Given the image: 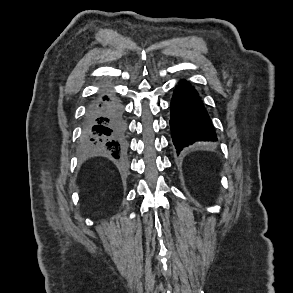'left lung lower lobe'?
I'll return each instance as SVG.
<instances>
[{"mask_svg": "<svg viewBox=\"0 0 293 293\" xmlns=\"http://www.w3.org/2000/svg\"><path fill=\"white\" fill-rule=\"evenodd\" d=\"M173 144L180 151L198 141H216L217 136L197 91L185 80L176 86L170 104Z\"/></svg>", "mask_w": 293, "mask_h": 293, "instance_id": "0a47b994", "label": "left lung lower lobe"}]
</instances>
